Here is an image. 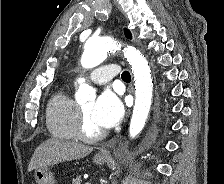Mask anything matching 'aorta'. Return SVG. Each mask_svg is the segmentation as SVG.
Here are the masks:
<instances>
[{
	"label": "aorta",
	"mask_w": 224,
	"mask_h": 184,
	"mask_svg": "<svg viewBox=\"0 0 224 184\" xmlns=\"http://www.w3.org/2000/svg\"><path fill=\"white\" fill-rule=\"evenodd\" d=\"M121 49V44L111 38H89L84 45L81 65L91 69L100 65L108 53ZM125 58L131 65L135 81V105L129 126V135L136 137L144 128L152 103V78L146 58L139 50L132 46L123 49ZM79 88L76 92L78 101H86L95 97V90L85 83V79H78Z\"/></svg>",
	"instance_id": "obj_1"
}]
</instances>
